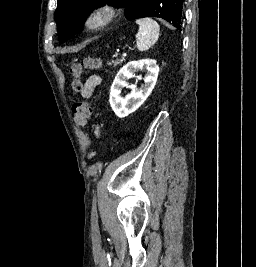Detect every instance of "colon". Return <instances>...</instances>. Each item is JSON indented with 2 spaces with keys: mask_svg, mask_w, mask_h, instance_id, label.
I'll use <instances>...</instances> for the list:
<instances>
[{
  "mask_svg": "<svg viewBox=\"0 0 256 267\" xmlns=\"http://www.w3.org/2000/svg\"><path fill=\"white\" fill-rule=\"evenodd\" d=\"M101 62L95 57H86L81 60L73 61L68 66V73L71 77V88L78 92L83 89L82 76L85 71L96 70ZM71 110L74 120L78 126L84 127L93 113V107L90 101H76L72 104Z\"/></svg>",
  "mask_w": 256,
  "mask_h": 267,
  "instance_id": "1",
  "label": "colon"
}]
</instances>
